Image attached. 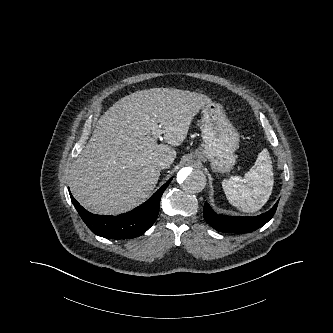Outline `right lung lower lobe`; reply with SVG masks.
Returning <instances> with one entry per match:
<instances>
[{"label": "right lung lower lobe", "instance_id": "98d812e1", "mask_svg": "<svg viewBox=\"0 0 333 333\" xmlns=\"http://www.w3.org/2000/svg\"><path fill=\"white\" fill-rule=\"evenodd\" d=\"M169 179L150 199L130 212L118 216L95 215L85 210L70 193L71 201L79 215L98 236L113 239H131L142 235L155 222L163 192L170 184Z\"/></svg>", "mask_w": 333, "mask_h": 333}]
</instances>
